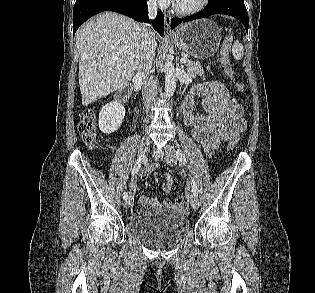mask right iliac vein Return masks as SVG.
Wrapping results in <instances>:
<instances>
[{
    "label": "right iliac vein",
    "mask_w": 315,
    "mask_h": 293,
    "mask_svg": "<svg viewBox=\"0 0 315 293\" xmlns=\"http://www.w3.org/2000/svg\"><path fill=\"white\" fill-rule=\"evenodd\" d=\"M149 145H150V140L148 138H143L141 140L140 145H139V150H138L139 158L145 155L146 151L149 148ZM132 202H133V197L132 195H129L123 202L124 208H129Z\"/></svg>",
    "instance_id": "obj_1"
}]
</instances>
